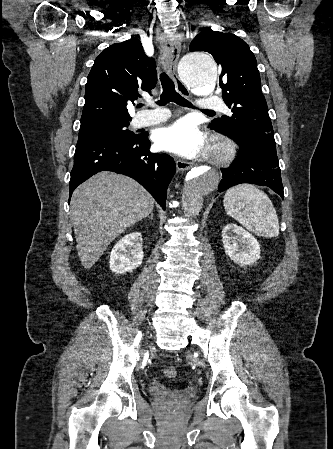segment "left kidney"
Masks as SVG:
<instances>
[{"label":"left kidney","mask_w":333,"mask_h":449,"mask_svg":"<svg viewBox=\"0 0 333 449\" xmlns=\"http://www.w3.org/2000/svg\"><path fill=\"white\" fill-rule=\"evenodd\" d=\"M222 240L226 254L240 266L252 264L260 257L256 238L237 224L230 223L223 228Z\"/></svg>","instance_id":"left-kidney-1"}]
</instances>
